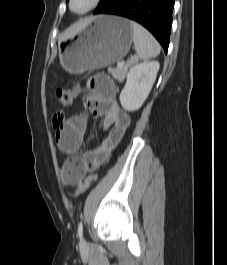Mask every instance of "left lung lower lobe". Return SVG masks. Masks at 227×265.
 Segmentation results:
<instances>
[{"instance_id":"left-lung-lower-lobe-1","label":"left lung lower lobe","mask_w":227,"mask_h":265,"mask_svg":"<svg viewBox=\"0 0 227 265\" xmlns=\"http://www.w3.org/2000/svg\"><path fill=\"white\" fill-rule=\"evenodd\" d=\"M175 0H108L93 14H113L135 20L146 27L167 53Z\"/></svg>"}]
</instances>
